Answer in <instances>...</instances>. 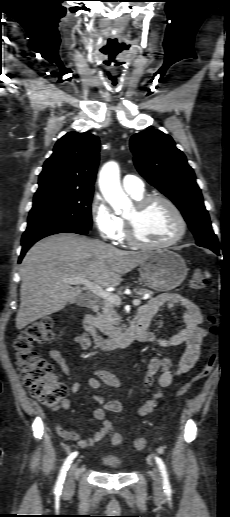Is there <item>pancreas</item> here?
Instances as JSON below:
<instances>
[{"label": "pancreas", "instance_id": "pancreas-1", "mask_svg": "<svg viewBox=\"0 0 230 517\" xmlns=\"http://www.w3.org/2000/svg\"><path fill=\"white\" fill-rule=\"evenodd\" d=\"M133 291L140 296L148 294L150 298L154 295L153 291L146 288H135ZM100 305L102 311L97 316L96 327L109 338H114L121 332V318L114 304L104 300Z\"/></svg>", "mask_w": 230, "mask_h": 517}]
</instances>
